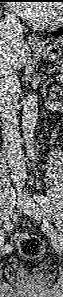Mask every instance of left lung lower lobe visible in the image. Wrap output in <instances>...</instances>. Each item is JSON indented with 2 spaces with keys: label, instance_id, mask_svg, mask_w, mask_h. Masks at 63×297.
Listing matches in <instances>:
<instances>
[{
  "label": "left lung lower lobe",
  "instance_id": "1",
  "mask_svg": "<svg viewBox=\"0 0 63 297\" xmlns=\"http://www.w3.org/2000/svg\"><path fill=\"white\" fill-rule=\"evenodd\" d=\"M51 35H52V36L63 35V28L60 29V30H58V31L52 32Z\"/></svg>",
  "mask_w": 63,
  "mask_h": 297
}]
</instances>
